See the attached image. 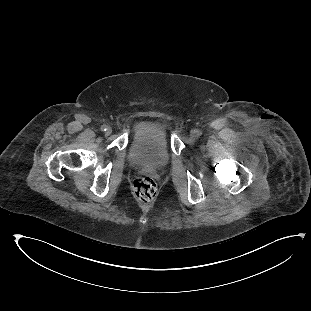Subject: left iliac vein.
Returning a JSON list of instances; mask_svg holds the SVG:
<instances>
[{"mask_svg": "<svg viewBox=\"0 0 311 311\" xmlns=\"http://www.w3.org/2000/svg\"><path fill=\"white\" fill-rule=\"evenodd\" d=\"M190 137H191L192 139H195V138L197 137V132H196L195 130H191V132H190Z\"/></svg>", "mask_w": 311, "mask_h": 311, "instance_id": "obj_1", "label": "left iliac vein"}]
</instances>
